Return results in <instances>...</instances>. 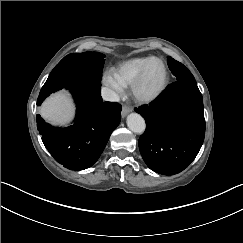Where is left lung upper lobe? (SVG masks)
Segmentation results:
<instances>
[{
    "label": "left lung upper lobe",
    "instance_id": "1",
    "mask_svg": "<svg viewBox=\"0 0 243 243\" xmlns=\"http://www.w3.org/2000/svg\"><path fill=\"white\" fill-rule=\"evenodd\" d=\"M167 63L172 74L176 77V81H191L195 82V78L187 67L182 63L174 60L172 57H167Z\"/></svg>",
    "mask_w": 243,
    "mask_h": 243
}]
</instances>
